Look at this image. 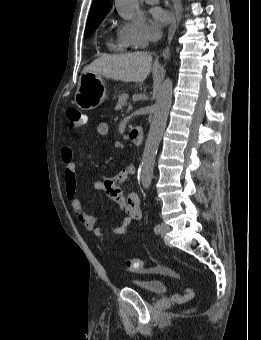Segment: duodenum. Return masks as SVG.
Returning a JSON list of instances; mask_svg holds the SVG:
<instances>
[{
    "instance_id": "duodenum-1",
    "label": "duodenum",
    "mask_w": 261,
    "mask_h": 340,
    "mask_svg": "<svg viewBox=\"0 0 261 340\" xmlns=\"http://www.w3.org/2000/svg\"><path fill=\"white\" fill-rule=\"evenodd\" d=\"M128 136L133 144L139 146L143 140V130L140 127L132 128Z\"/></svg>"
}]
</instances>
